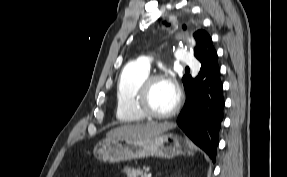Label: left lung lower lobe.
I'll return each instance as SVG.
<instances>
[{
    "label": "left lung lower lobe",
    "mask_w": 287,
    "mask_h": 177,
    "mask_svg": "<svg viewBox=\"0 0 287 177\" xmlns=\"http://www.w3.org/2000/svg\"><path fill=\"white\" fill-rule=\"evenodd\" d=\"M196 58L201 63V69L195 79L183 77L186 102L177 124L214 162L225 102L217 52L212 41L205 52ZM191 109L192 117L189 116Z\"/></svg>",
    "instance_id": "0a47b994"
}]
</instances>
